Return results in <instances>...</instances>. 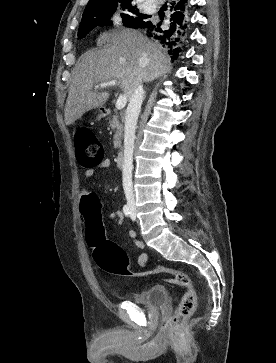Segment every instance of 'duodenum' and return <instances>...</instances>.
Wrapping results in <instances>:
<instances>
[{"mask_svg":"<svg viewBox=\"0 0 276 363\" xmlns=\"http://www.w3.org/2000/svg\"><path fill=\"white\" fill-rule=\"evenodd\" d=\"M108 114V112H107ZM116 163L118 166H122L124 163V153L122 151L116 154Z\"/></svg>","mask_w":276,"mask_h":363,"instance_id":"410a0bca","label":"duodenum"}]
</instances>
